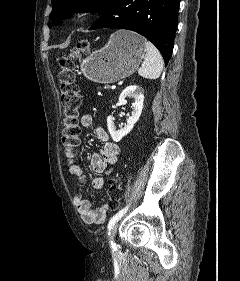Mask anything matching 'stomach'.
Masks as SVG:
<instances>
[{
	"instance_id": "obj_1",
	"label": "stomach",
	"mask_w": 240,
	"mask_h": 281,
	"mask_svg": "<svg viewBox=\"0 0 240 281\" xmlns=\"http://www.w3.org/2000/svg\"><path fill=\"white\" fill-rule=\"evenodd\" d=\"M145 54V39L140 35L120 30L109 42L81 62L86 78L98 83H114L129 77L138 68Z\"/></svg>"
}]
</instances>
